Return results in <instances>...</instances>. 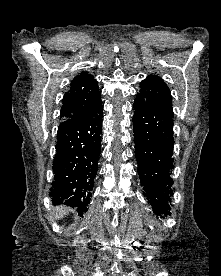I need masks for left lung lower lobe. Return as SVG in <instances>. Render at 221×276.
Here are the masks:
<instances>
[{
	"label": "left lung lower lobe",
	"mask_w": 221,
	"mask_h": 276,
	"mask_svg": "<svg viewBox=\"0 0 221 276\" xmlns=\"http://www.w3.org/2000/svg\"><path fill=\"white\" fill-rule=\"evenodd\" d=\"M133 107L135 156L144 195L156 215H170L173 116L155 109L140 94H137Z\"/></svg>",
	"instance_id": "1"
}]
</instances>
